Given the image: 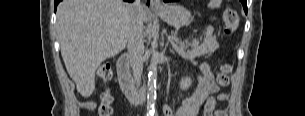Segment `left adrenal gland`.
<instances>
[{"label": "left adrenal gland", "mask_w": 305, "mask_h": 116, "mask_svg": "<svg viewBox=\"0 0 305 116\" xmlns=\"http://www.w3.org/2000/svg\"><path fill=\"white\" fill-rule=\"evenodd\" d=\"M171 42V41H170ZM171 44L173 45V47H174V43L173 42H171ZM170 51L172 52V53H174V51L172 50V49H170Z\"/></svg>", "instance_id": "1"}]
</instances>
